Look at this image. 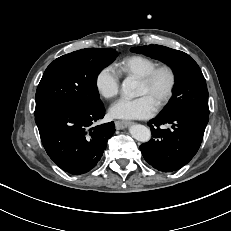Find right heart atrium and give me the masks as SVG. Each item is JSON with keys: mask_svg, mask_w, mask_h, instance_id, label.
I'll return each mask as SVG.
<instances>
[{"mask_svg": "<svg viewBox=\"0 0 231 231\" xmlns=\"http://www.w3.org/2000/svg\"><path fill=\"white\" fill-rule=\"evenodd\" d=\"M119 86L120 75L111 65L101 68L95 77V87L98 93L106 99L115 97L119 92Z\"/></svg>", "mask_w": 231, "mask_h": 231, "instance_id": "1", "label": "right heart atrium"}]
</instances>
